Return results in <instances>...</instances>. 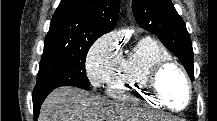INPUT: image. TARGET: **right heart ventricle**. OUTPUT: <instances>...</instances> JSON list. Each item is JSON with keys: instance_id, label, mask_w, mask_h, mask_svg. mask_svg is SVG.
Here are the masks:
<instances>
[{"instance_id": "obj_1", "label": "right heart ventricle", "mask_w": 217, "mask_h": 121, "mask_svg": "<svg viewBox=\"0 0 217 121\" xmlns=\"http://www.w3.org/2000/svg\"><path fill=\"white\" fill-rule=\"evenodd\" d=\"M168 59H171L170 53L159 42L151 37L139 39L127 55L119 58L106 82V93L117 101H147L158 107L148 93L147 78L153 66Z\"/></svg>"}]
</instances>
